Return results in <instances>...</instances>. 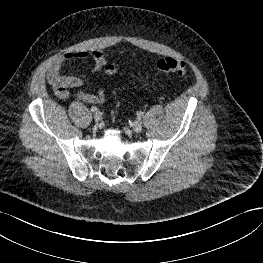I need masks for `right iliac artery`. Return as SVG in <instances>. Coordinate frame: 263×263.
Segmentation results:
<instances>
[{
	"mask_svg": "<svg viewBox=\"0 0 263 263\" xmlns=\"http://www.w3.org/2000/svg\"><path fill=\"white\" fill-rule=\"evenodd\" d=\"M97 110H98V108H97L96 106H92V107H91V111H92V112H96Z\"/></svg>",
	"mask_w": 263,
	"mask_h": 263,
	"instance_id": "82829eb1",
	"label": "right iliac artery"
}]
</instances>
